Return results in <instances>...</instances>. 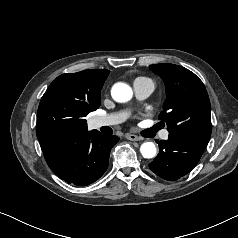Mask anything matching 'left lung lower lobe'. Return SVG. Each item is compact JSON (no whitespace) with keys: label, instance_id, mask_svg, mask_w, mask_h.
<instances>
[{"label":"left lung lower lobe","instance_id":"obj_1","mask_svg":"<svg viewBox=\"0 0 238 238\" xmlns=\"http://www.w3.org/2000/svg\"><path fill=\"white\" fill-rule=\"evenodd\" d=\"M159 143V154L149 168L161 178L175 181L189 173L199 162L207 143L188 136L169 133Z\"/></svg>","mask_w":238,"mask_h":238}]
</instances>
